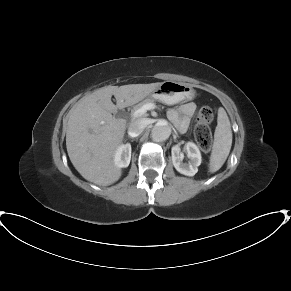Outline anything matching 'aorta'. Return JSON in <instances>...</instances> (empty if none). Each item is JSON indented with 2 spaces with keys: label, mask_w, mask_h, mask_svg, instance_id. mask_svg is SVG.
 Returning <instances> with one entry per match:
<instances>
[{
  "label": "aorta",
  "mask_w": 291,
  "mask_h": 291,
  "mask_svg": "<svg viewBox=\"0 0 291 291\" xmlns=\"http://www.w3.org/2000/svg\"><path fill=\"white\" fill-rule=\"evenodd\" d=\"M171 127L165 122H158L152 128L151 137L155 142H162L171 135Z\"/></svg>",
  "instance_id": "aorta-1"
}]
</instances>
